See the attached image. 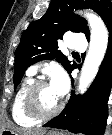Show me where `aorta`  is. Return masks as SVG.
Returning a JSON list of instances; mask_svg holds the SVG:
<instances>
[{
  "mask_svg": "<svg viewBox=\"0 0 112 135\" xmlns=\"http://www.w3.org/2000/svg\"><path fill=\"white\" fill-rule=\"evenodd\" d=\"M82 14V13H81ZM90 26V44L78 84V93L83 94L95 79L108 46V31L103 20L94 13H84Z\"/></svg>",
  "mask_w": 112,
  "mask_h": 135,
  "instance_id": "1",
  "label": "aorta"
}]
</instances>
